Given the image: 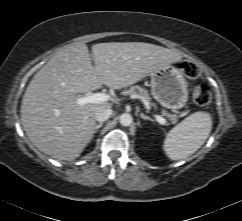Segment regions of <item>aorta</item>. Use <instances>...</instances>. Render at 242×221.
<instances>
[{"mask_svg":"<svg viewBox=\"0 0 242 221\" xmlns=\"http://www.w3.org/2000/svg\"><path fill=\"white\" fill-rule=\"evenodd\" d=\"M119 122L122 126H130L133 122V118L129 113H123L119 117Z\"/></svg>","mask_w":242,"mask_h":221,"instance_id":"762f6f07","label":"aorta"}]
</instances>
